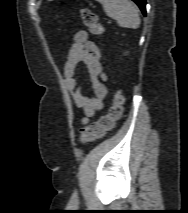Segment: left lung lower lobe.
Here are the masks:
<instances>
[{"instance_id": "obj_1", "label": "left lung lower lobe", "mask_w": 188, "mask_h": 213, "mask_svg": "<svg viewBox=\"0 0 188 213\" xmlns=\"http://www.w3.org/2000/svg\"><path fill=\"white\" fill-rule=\"evenodd\" d=\"M142 10L143 14H146V10H145V5H146V1L145 0H133Z\"/></svg>"}]
</instances>
